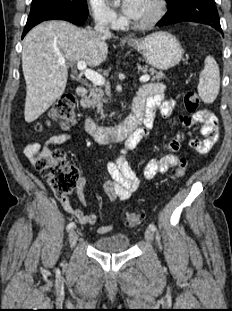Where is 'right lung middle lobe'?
Segmentation results:
<instances>
[{"instance_id":"right-lung-middle-lobe-1","label":"right lung middle lobe","mask_w":232,"mask_h":311,"mask_svg":"<svg viewBox=\"0 0 232 311\" xmlns=\"http://www.w3.org/2000/svg\"><path fill=\"white\" fill-rule=\"evenodd\" d=\"M46 6H62L88 15L86 0H32L31 10Z\"/></svg>"}]
</instances>
